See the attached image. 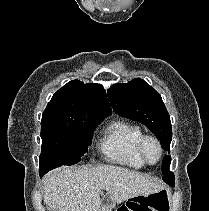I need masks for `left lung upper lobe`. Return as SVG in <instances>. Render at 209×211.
Listing matches in <instances>:
<instances>
[{
    "instance_id": "left-lung-upper-lobe-1",
    "label": "left lung upper lobe",
    "mask_w": 209,
    "mask_h": 211,
    "mask_svg": "<svg viewBox=\"0 0 209 211\" xmlns=\"http://www.w3.org/2000/svg\"><path fill=\"white\" fill-rule=\"evenodd\" d=\"M108 97L114 111L147 126L160 140L164 150L170 152L172 126L170 116L160 94L140 78L128 83L114 84L108 90ZM171 156L162 162L163 179H172L169 171Z\"/></svg>"
}]
</instances>
